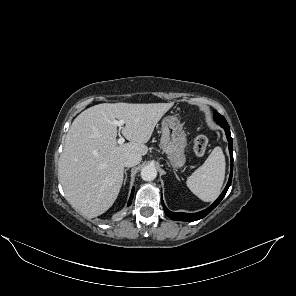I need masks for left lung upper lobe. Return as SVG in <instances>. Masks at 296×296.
Returning a JSON list of instances; mask_svg holds the SVG:
<instances>
[{"instance_id":"obj_1","label":"left lung upper lobe","mask_w":296,"mask_h":296,"mask_svg":"<svg viewBox=\"0 0 296 296\" xmlns=\"http://www.w3.org/2000/svg\"><path fill=\"white\" fill-rule=\"evenodd\" d=\"M214 119H215L216 122L227 123L226 119L217 112L214 113Z\"/></svg>"}]
</instances>
